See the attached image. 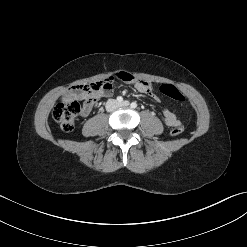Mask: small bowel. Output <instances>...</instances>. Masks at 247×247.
<instances>
[{
	"label": "small bowel",
	"mask_w": 247,
	"mask_h": 247,
	"mask_svg": "<svg viewBox=\"0 0 247 247\" xmlns=\"http://www.w3.org/2000/svg\"><path fill=\"white\" fill-rule=\"evenodd\" d=\"M117 78L122 80V81L133 84L134 87L140 93H143V94H151L152 93V86L149 82L135 79L131 74H129L127 72L118 73ZM112 94H113V88L103 92L100 96H111ZM75 97L80 99V100H83L82 115L88 116L93 109V103L88 102L86 100L85 96L78 91L75 92ZM163 117H164V122L167 126L175 127V126L179 125V121H178L176 115L169 108L163 109Z\"/></svg>",
	"instance_id": "c3829d8e"
}]
</instances>
